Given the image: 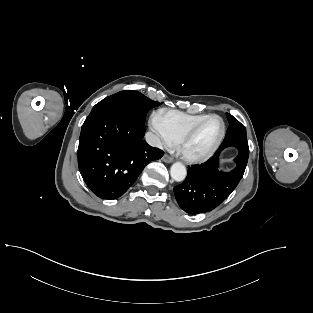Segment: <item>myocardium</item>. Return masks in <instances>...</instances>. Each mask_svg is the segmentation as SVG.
I'll list each match as a JSON object with an SVG mask.
<instances>
[{
  "label": "myocardium",
  "mask_w": 313,
  "mask_h": 313,
  "mask_svg": "<svg viewBox=\"0 0 313 313\" xmlns=\"http://www.w3.org/2000/svg\"><path fill=\"white\" fill-rule=\"evenodd\" d=\"M210 118H217L220 120L221 125H222V129H221V133L220 136L218 138V140L216 141L215 145L212 147V149L207 152L206 154L200 155V156H192V155H188L185 151H184V147L186 145V143L188 142V140L192 137V135L195 133V131L208 119ZM226 135V123L224 121V119L218 115V114H208L206 115L204 118H202L201 120H199L198 122H196L195 124H193L191 127H189L183 134L182 136L179 138V140L177 141V149L179 151V153L182 155V157L190 162V163H201L204 161H207L208 159H210L220 148L224 138Z\"/></svg>",
  "instance_id": "1"
}]
</instances>
